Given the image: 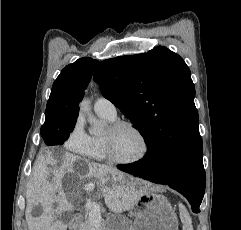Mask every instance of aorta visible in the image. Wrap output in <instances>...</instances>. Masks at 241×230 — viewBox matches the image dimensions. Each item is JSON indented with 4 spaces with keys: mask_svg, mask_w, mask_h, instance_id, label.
<instances>
[{
    "mask_svg": "<svg viewBox=\"0 0 241 230\" xmlns=\"http://www.w3.org/2000/svg\"><path fill=\"white\" fill-rule=\"evenodd\" d=\"M80 111L86 115L87 120L91 125V134L98 135L103 132V123L94 117L91 112L90 103L87 99H83L80 103Z\"/></svg>",
    "mask_w": 241,
    "mask_h": 230,
    "instance_id": "obj_1",
    "label": "aorta"
}]
</instances>
